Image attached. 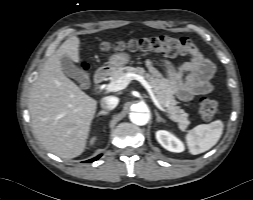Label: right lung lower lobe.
Instances as JSON below:
<instances>
[{
  "label": "right lung lower lobe",
  "mask_w": 253,
  "mask_h": 200,
  "mask_svg": "<svg viewBox=\"0 0 253 200\" xmlns=\"http://www.w3.org/2000/svg\"><path fill=\"white\" fill-rule=\"evenodd\" d=\"M100 156H101V155H99V156H97V157H95V158H93V159H90V160H88V161H86V162H93V161L97 160Z\"/></svg>",
  "instance_id": "98d812e1"
}]
</instances>
